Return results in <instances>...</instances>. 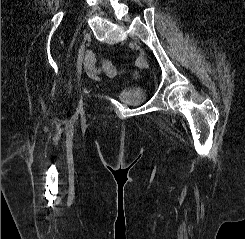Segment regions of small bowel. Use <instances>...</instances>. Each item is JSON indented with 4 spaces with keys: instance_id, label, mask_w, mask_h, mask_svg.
<instances>
[{
    "instance_id": "obj_1",
    "label": "small bowel",
    "mask_w": 245,
    "mask_h": 239,
    "mask_svg": "<svg viewBox=\"0 0 245 239\" xmlns=\"http://www.w3.org/2000/svg\"><path fill=\"white\" fill-rule=\"evenodd\" d=\"M85 69L90 79L94 81L100 80V74L102 73L103 68L101 66L96 65V57H95V54L92 52H90L87 55Z\"/></svg>"
}]
</instances>
